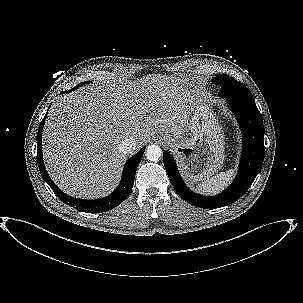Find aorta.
Here are the masks:
<instances>
[{"label": "aorta", "instance_id": "obj_1", "mask_svg": "<svg viewBox=\"0 0 303 303\" xmlns=\"http://www.w3.org/2000/svg\"><path fill=\"white\" fill-rule=\"evenodd\" d=\"M162 155V150L158 145L152 144L146 148L147 159L152 162H157Z\"/></svg>", "mask_w": 303, "mask_h": 303}]
</instances>
